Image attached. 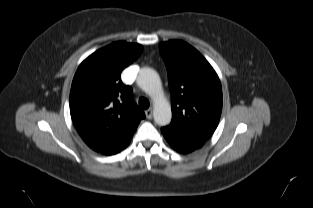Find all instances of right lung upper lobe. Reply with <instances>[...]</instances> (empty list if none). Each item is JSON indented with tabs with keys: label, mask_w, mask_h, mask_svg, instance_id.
<instances>
[{
	"label": "right lung upper lobe",
	"mask_w": 313,
	"mask_h": 208,
	"mask_svg": "<svg viewBox=\"0 0 313 208\" xmlns=\"http://www.w3.org/2000/svg\"><path fill=\"white\" fill-rule=\"evenodd\" d=\"M139 44L113 42L79 66L70 91L72 121L82 138L123 140L133 136L144 112L121 81V72L142 53Z\"/></svg>",
	"instance_id": "1"
}]
</instances>
